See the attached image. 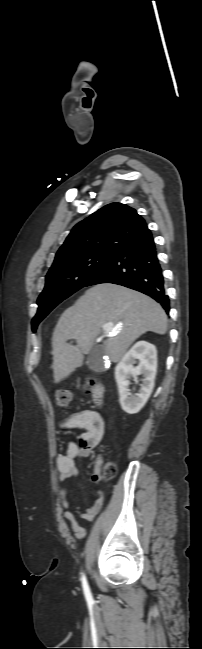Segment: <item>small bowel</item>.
I'll return each mask as SVG.
<instances>
[{"label":"small bowel","mask_w":202,"mask_h":649,"mask_svg":"<svg viewBox=\"0 0 202 649\" xmlns=\"http://www.w3.org/2000/svg\"><path fill=\"white\" fill-rule=\"evenodd\" d=\"M60 428L66 432L82 430V433L75 440L68 442L66 451L57 459L59 479L61 482H67L78 474L77 461L90 456L92 451L102 441L105 435V422L97 412L83 410L70 415L60 424ZM102 478L100 468L95 466L94 472L91 475V481L95 485H99ZM59 494L64 507L63 516L70 522L74 537L77 539L84 538L86 530L79 525L75 514L69 509L71 503L66 498L68 494L67 490L62 488ZM72 502H76V500L73 499ZM102 505L103 494L98 492V498L84 510L77 507L76 514L81 519L92 522L100 512Z\"/></svg>","instance_id":"small-bowel-1"}]
</instances>
